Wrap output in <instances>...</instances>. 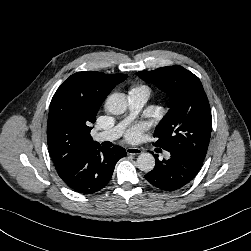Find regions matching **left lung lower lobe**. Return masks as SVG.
Listing matches in <instances>:
<instances>
[{
	"label": "left lung lower lobe",
	"mask_w": 251,
	"mask_h": 251,
	"mask_svg": "<svg viewBox=\"0 0 251 251\" xmlns=\"http://www.w3.org/2000/svg\"><path fill=\"white\" fill-rule=\"evenodd\" d=\"M171 157L162 162L156 155L155 168L145 179L160 190L172 192L189 184L199 172L203 161L186 151L170 152Z\"/></svg>",
	"instance_id": "left-lung-lower-lobe-1"
}]
</instances>
